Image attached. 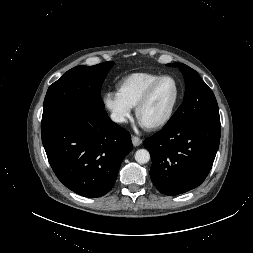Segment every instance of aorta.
I'll return each instance as SVG.
<instances>
[{
    "mask_svg": "<svg viewBox=\"0 0 253 253\" xmlns=\"http://www.w3.org/2000/svg\"><path fill=\"white\" fill-rule=\"evenodd\" d=\"M135 160L139 164H145V163L149 162L150 154H149L148 150H146V149L137 150L135 153Z\"/></svg>",
    "mask_w": 253,
    "mask_h": 253,
    "instance_id": "aorta-1",
    "label": "aorta"
}]
</instances>
